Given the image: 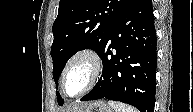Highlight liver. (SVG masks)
<instances>
[{
    "mask_svg": "<svg viewBox=\"0 0 193 112\" xmlns=\"http://www.w3.org/2000/svg\"><path fill=\"white\" fill-rule=\"evenodd\" d=\"M88 103H89V102H80V103L73 104V105H71V106L68 108V111L77 112V111H79L81 108H83L85 105H87Z\"/></svg>",
    "mask_w": 193,
    "mask_h": 112,
    "instance_id": "liver-1",
    "label": "liver"
}]
</instances>
